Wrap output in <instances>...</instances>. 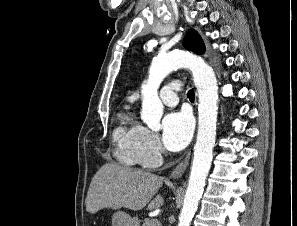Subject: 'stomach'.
Wrapping results in <instances>:
<instances>
[{
    "mask_svg": "<svg viewBox=\"0 0 297 226\" xmlns=\"http://www.w3.org/2000/svg\"><path fill=\"white\" fill-rule=\"evenodd\" d=\"M112 226H139V223L136 218L123 211H118L112 217Z\"/></svg>",
    "mask_w": 297,
    "mask_h": 226,
    "instance_id": "stomach-1",
    "label": "stomach"
}]
</instances>
